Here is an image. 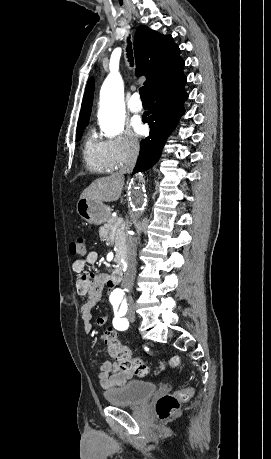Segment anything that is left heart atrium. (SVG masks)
Here are the masks:
<instances>
[{"label": "left heart atrium", "mask_w": 271, "mask_h": 459, "mask_svg": "<svg viewBox=\"0 0 271 459\" xmlns=\"http://www.w3.org/2000/svg\"><path fill=\"white\" fill-rule=\"evenodd\" d=\"M133 128H134V131H135L138 135H140V134L142 133V131H143L142 125H141L139 122H135V123L133 124Z\"/></svg>", "instance_id": "39dd6f15"}]
</instances>
